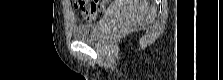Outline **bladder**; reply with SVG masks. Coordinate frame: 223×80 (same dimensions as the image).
<instances>
[{"instance_id": "1", "label": "bladder", "mask_w": 223, "mask_h": 80, "mask_svg": "<svg viewBox=\"0 0 223 80\" xmlns=\"http://www.w3.org/2000/svg\"><path fill=\"white\" fill-rule=\"evenodd\" d=\"M111 14H105L98 22L79 24L73 27L72 36L78 41H97L103 34L104 27Z\"/></svg>"}]
</instances>
